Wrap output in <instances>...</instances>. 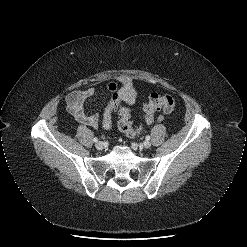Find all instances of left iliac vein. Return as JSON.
<instances>
[{
  "label": "left iliac vein",
  "instance_id": "4c4485c4",
  "mask_svg": "<svg viewBox=\"0 0 247 247\" xmlns=\"http://www.w3.org/2000/svg\"><path fill=\"white\" fill-rule=\"evenodd\" d=\"M143 146H144V148H150L151 147V143H150V141H144L143 142Z\"/></svg>",
  "mask_w": 247,
  "mask_h": 247
}]
</instances>
